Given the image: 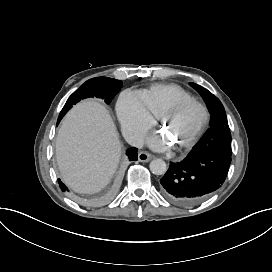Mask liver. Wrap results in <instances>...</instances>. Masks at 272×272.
I'll list each match as a JSON object with an SVG mask.
<instances>
[{
    "label": "liver",
    "mask_w": 272,
    "mask_h": 272,
    "mask_svg": "<svg viewBox=\"0 0 272 272\" xmlns=\"http://www.w3.org/2000/svg\"><path fill=\"white\" fill-rule=\"evenodd\" d=\"M56 154L64 182L76 192H98L107 184L119 160L120 142L99 102H82L67 114L56 138Z\"/></svg>",
    "instance_id": "6515ba94"
}]
</instances>
